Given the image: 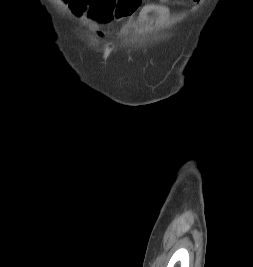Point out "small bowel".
Segmentation results:
<instances>
[{
  "label": "small bowel",
  "instance_id": "c3829d8e",
  "mask_svg": "<svg viewBox=\"0 0 253 267\" xmlns=\"http://www.w3.org/2000/svg\"><path fill=\"white\" fill-rule=\"evenodd\" d=\"M192 1L198 4L202 0ZM66 2L73 13H86L89 18L101 24L121 19L128 24L136 15L141 23H145L152 14L166 17L169 13V9L165 5L161 3L143 4V0H66Z\"/></svg>",
  "mask_w": 253,
  "mask_h": 267
}]
</instances>
